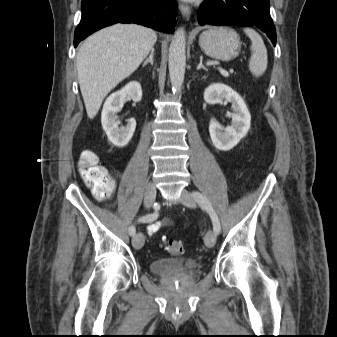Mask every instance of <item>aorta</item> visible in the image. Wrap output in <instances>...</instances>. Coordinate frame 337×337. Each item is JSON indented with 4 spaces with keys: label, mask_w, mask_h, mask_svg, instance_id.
I'll use <instances>...</instances> for the list:
<instances>
[{
    "label": "aorta",
    "mask_w": 337,
    "mask_h": 337,
    "mask_svg": "<svg viewBox=\"0 0 337 337\" xmlns=\"http://www.w3.org/2000/svg\"><path fill=\"white\" fill-rule=\"evenodd\" d=\"M169 75L172 90L178 94L184 81L186 66V36L184 28H178L169 47Z\"/></svg>",
    "instance_id": "762f6f07"
}]
</instances>
